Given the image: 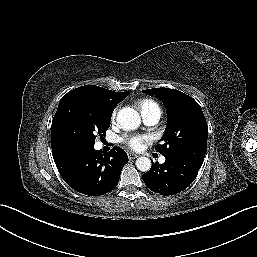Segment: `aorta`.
<instances>
[{"label":"aorta","mask_w":257,"mask_h":257,"mask_svg":"<svg viewBox=\"0 0 257 257\" xmlns=\"http://www.w3.org/2000/svg\"><path fill=\"white\" fill-rule=\"evenodd\" d=\"M117 122L124 129L133 130L140 126L141 117L135 109L130 107H124L118 112ZM136 167L142 172H147L151 168V160L147 157H139L136 160Z\"/></svg>","instance_id":"762f6f07"}]
</instances>
